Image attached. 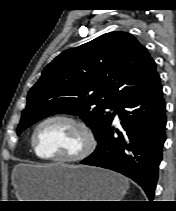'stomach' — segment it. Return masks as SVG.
Listing matches in <instances>:
<instances>
[{
    "label": "stomach",
    "instance_id": "0dacf381",
    "mask_svg": "<svg viewBox=\"0 0 176 211\" xmlns=\"http://www.w3.org/2000/svg\"><path fill=\"white\" fill-rule=\"evenodd\" d=\"M13 186L20 201H120L129 184L122 175L97 167L21 164Z\"/></svg>",
    "mask_w": 176,
    "mask_h": 211
}]
</instances>
